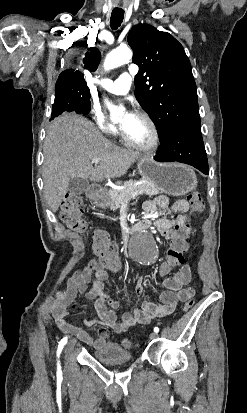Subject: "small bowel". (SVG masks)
I'll return each mask as SVG.
<instances>
[{"label":"small bowel","instance_id":"obj_1","mask_svg":"<svg viewBox=\"0 0 247 413\" xmlns=\"http://www.w3.org/2000/svg\"><path fill=\"white\" fill-rule=\"evenodd\" d=\"M144 208L148 220L156 225L160 234L173 238L176 235L175 227L186 223L185 214L189 211L190 205L186 200H179L170 206L166 196L158 195L147 200ZM161 211H167L177 216L174 220H168L159 216ZM107 269L110 268L101 258L91 259L70 277L63 298L64 305H68L80 297L94 301L93 310L98 316V322L105 326L99 330L98 338L93 339L82 328L67 321L68 313L64 308L59 309L55 314V323L62 332L74 335L81 342L96 349H114L116 347L114 340H108L109 333L106 328L120 334L137 325H147L153 319L173 313L179 302H184L188 297H195L192 287L188 286L191 281V267L184 265L173 276L164 280L165 290L159 294L157 302L143 301L140 309L124 312L121 315V321L118 322L115 310L120 307V303L113 299L111 292L104 291L105 283L108 280ZM143 291L142 284H137L135 287L137 299L141 298ZM94 323L96 321L86 320V324L92 325Z\"/></svg>","mask_w":247,"mask_h":413}]
</instances>
